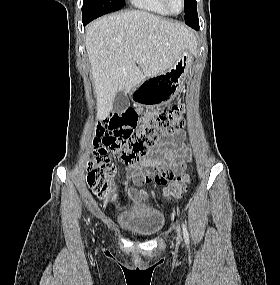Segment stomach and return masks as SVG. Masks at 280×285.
Listing matches in <instances>:
<instances>
[{
    "label": "stomach",
    "instance_id": "stomach-1",
    "mask_svg": "<svg viewBox=\"0 0 280 285\" xmlns=\"http://www.w3.org/2000/svg\"><path fill=\"white\" fill-rule=\"evenodd\" d=\"M191 62L192 53L186 49L168 70L143 80L133 88V100L148 106L169 103L182 89Z\"/></svg>",
    "mask_w": 280,
    "mask_h": 285
}]
</instances>
